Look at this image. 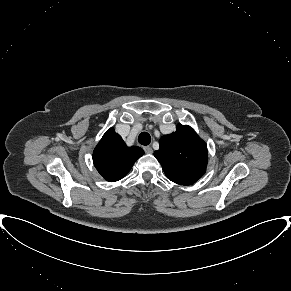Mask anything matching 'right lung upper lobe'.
I'll return each instance as SVG.
<instances>
[{"instance_id":"right-lung-upper-lobe-1","label":"right lung upper lobe","mask_w":291,"mask_h":291,"mask_svg":"<svg viewBox=\"0 0 291 291\" xmlns=\"http://www.w3.org/2000/svg\"><path fill=\"white\" fill-rule=\"evenodd\" d=\"M143 154L139 147H127L121 136L110 128L94 149L93 163L105 180L115 182L122 179Z\"/></svg>"}]
</instances>
